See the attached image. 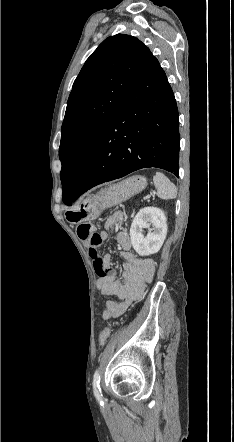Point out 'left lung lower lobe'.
Segmentation results:
<instances>
[{"label":"left lung lower lobe","mask_w":234,"mask_h":442,"mask_svg":"<svg viewBox=\"0 0 234 442\" xmlns=\"http://www.w3.org/2000/svg\"><path fill=\"white\" fill-rule=\"evenodd\" d=\"M178 109L166 74L153 56L100 134L71 205L90 188L145 167L178 177Z\"/></svg>","instance_id":"obj_1"}]
</instances>
